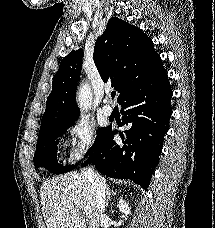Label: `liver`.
Segmentation results:
<instances>
[{
    "instance_id": "obj_1",
    "label": "liver",
    "mask_w": 215,
    "mask_h": 228,
    "mask_svg": "<svg viewBox=\"0 0 215 228\" xmlns=\"http://www.w3.org/2000/svg\"><path fill=\"white\" fill-rule=\"evenodd\" d=\"M40 198L47 228H87L86 222L88 228L101 226L94 196L84 174L69 172L45 180L41 186ZM87 210L89 214H85Z\"/></svg>"
}]
</instances>
